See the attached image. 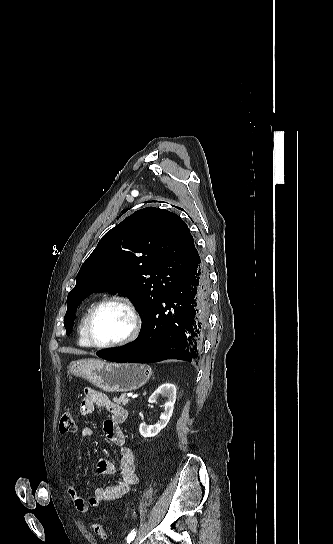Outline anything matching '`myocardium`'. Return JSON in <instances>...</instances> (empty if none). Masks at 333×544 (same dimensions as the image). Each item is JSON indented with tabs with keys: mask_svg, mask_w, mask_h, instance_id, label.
Returning a JSON list of instances; mask_svg holds the SVG:
<instances>
[{
	"mask_svg": "<svg viewBox=\"0 0 333 544\" xmlns=\"http://www.w3.org/2000/svg\"><path fill=\"white\" fill-rule=\"evenodd\" d=\"M112 302L121 303L129 310V312H130V314L132 316V328H131V331L129 332V334L125 338H123V339H121L119 341L113 342V343L100 344V343H97L93 338V335H92V323H93L94 317L96 316L98 311L104 305H106L108 303H112ZM141 329H142V317H141V314H140V311H139L137 305L135 304V302L131 298H129V297L125 296V295H119V294L107 296V297L101 299L100 301H98L96 304H94V306L90 310V312H89V314H88V316L86 318V322H85V336H86V339H87V341L89 342V344L92 347L97 348V349H112V348H118V347L125 346V345L133 342L139 336V334L141 332Z\"/></svg>",
	"mask_w": 333,
	"mask_h": 544,
	"instance_id": "1",
	"label": "myocardium"
}]
</instances>
